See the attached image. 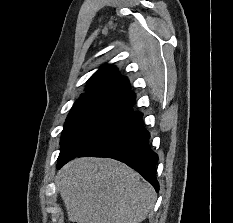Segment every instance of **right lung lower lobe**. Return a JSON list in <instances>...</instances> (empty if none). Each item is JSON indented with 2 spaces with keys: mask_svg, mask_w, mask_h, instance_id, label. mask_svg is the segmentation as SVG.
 <instances>
[{
  "mask_svg": "<svg viewBox=\"0 0 233 223\" xmlns=\"http://www.w3.org/2000/svg\"><path fill=\"white\" fill-rule=\"evenodd\" d=\"M124 97L127 107L121 116L81 153L59 155L57 168L75 157H109L135 169L158 192L155 173L158 156L148 145L150 135L142 125V113L131 110L135 103L134 92L129 90Z\"/></svg>",
  "mask_w": 233,
  "mask_h": 223,
  "instance_id": "right-lung-lower-lobe-1",
  "label": "right lung lower lobe"
}]
</instances>
